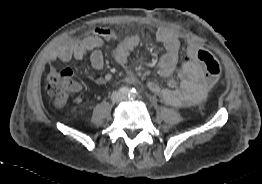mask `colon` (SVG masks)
I'll use <instances>...</instances> for the list:
<instances>
[{"label":"colon","instance_id":"obj_1","mask_svg":"<svg viewBox=\"0 0 262 184\" xmlns=\"http://www.w3.org/2000/svg\"><path fill=\"white\" fill-rule=\"evenodd\" d=\"M195 56L203 67L208 84H216L222 73L219 61L210 51L201 47H196ZM77 88V82L70 69L52 72L47 77V91L56 107L63 106Z\"/></svg>","mask_w":262,"mask_h":184}]
</instances>
